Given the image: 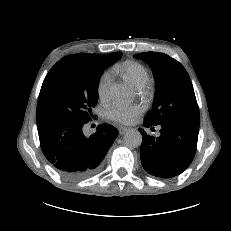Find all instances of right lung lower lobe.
I'll list each match as a JSON object with an SVG mask.
<instances>
[{"instance_id": "98d812e1", "label": "right lung lower lobe", "mask_w": 231, "mask_h": 231, "mask_svg": "<svg viewBox=\"0 0 231 231\" xmlns=\"http://www.w3.org/2000/svg\"><path fill=\"white\" fill-rule=\"evenodd\" d=\"M86 123L57 120L37 124L43 154L59 174L70 180L95 174L119 134L113 126L102 124L96 133L85 136Z\"/></svg>"}]
</instances>
